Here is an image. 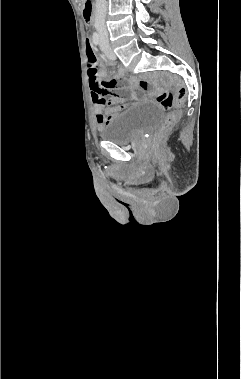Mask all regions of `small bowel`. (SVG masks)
<instances>
[{"instance_id":"1","label":"small bowel","mask_w":241,"mask_h":379,"mask_svg":"<svg viewBox=\"0 0 241 379\" xmlns=\"http://www.w3.org/2000/svg\"><path fill=\"white\" fill-rule=\"evenodd\" d=\"M88 42L91 43L92 41L90 39H87ZM99 77L102 79L105 78L104 72L99 73ZM119 79L116 78L115 81H118ZM100 83L108 84L112 82H108L105 80H99ZM114 85V83H112ZM90 85V82H89ZM149 86V83L146 80H129L126 84L122 85L121 87L115 89L118 91H122L124 95H115L114 93H111L109 95H100L96 90L91 89V96L93 101V107L95 111V118L96 123L98 127H102L103 125L107 124L114 114L124 109L126 106L123 104V101L130 98V99H138L139 96L136 93L137 87H139L142 90H146ZM109 96V97H107ZM151 96H145L143 99H150Z\"/></svg>"}]
</instances>
